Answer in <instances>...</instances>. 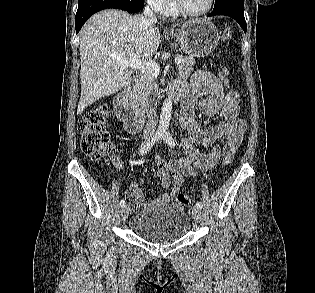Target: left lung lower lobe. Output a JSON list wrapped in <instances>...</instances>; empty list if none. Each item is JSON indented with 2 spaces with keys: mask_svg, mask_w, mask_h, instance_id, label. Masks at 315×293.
<instances>
[{
  "mask_svg": "<svg viewBox=\"0 0 315 293\" xmlns=\"http://www.w3.org/2000/svg\"><path fill=\"white\" fill-rule=\"evenodd\" d=\"M244 9L239 8H224L220 9L218 11H213L208 16H214V15H226L229 17H232L235 19L240 26L243 28V30L246 32V21L244 18Z\"/></svg>",
  "mask_w": 315,
  "mask_h": 293,
  "instance_id": "1",
  "label": "left lung lower lobe"
}]
</instances>
